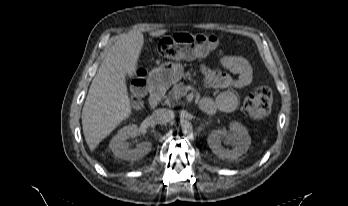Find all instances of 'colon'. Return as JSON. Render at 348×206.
Masks as SVG:
<instances>
[{
    "mask_svg": "<svg viewBox=\"0 0 348 206\" xmlns=\"http://www.w3.org/2000/svg\"><path fill=\"white\" fill-rule=\"evenodd\" d=\"M197 35L189 33H176L162 39L158 45V53L166 59L179 60L190 56L191 46L197 40ZM205 39L209 40V37ZM145 92V73L138 72L132 82V93L138 100ZM273 95L266 86H260L248 94L244 106L249 115L254 119H262L267 116L272 108Z\"/></svg>",
    "mask_w": 348,
    "mask_h": 206,
    "instance_id": "obj_1",
    "label": "colon"
}]
</instances>
